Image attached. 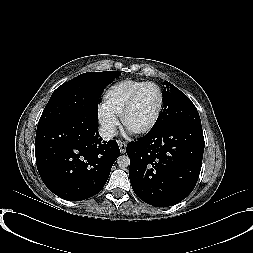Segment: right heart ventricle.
I'll return each instance as SVG.
<instances>
[{
  "label": "right heart ventricle",
  "instance_id": "e07e8e85",
  "mask_svg": "<svg viewBox=\"0 0 253 253\" xmlns=\"http://www.w3.org/2000/svg\"><path fill=\"white\" fill-rule=\"evenodd\" d=\"M144 81L124 79L112 84L104 93L102 105L116 116L121 112L132 92Z\"/></svg>",
  "mask_w": 253,
  "mask_h": 253
}]
</instances>
